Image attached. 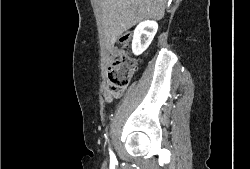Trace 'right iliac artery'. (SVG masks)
<instances>
[{
    "label": "right iliac artery",
    "instance_id": "right-iliac-artery-1",
    "mask_svg": "<svg viewBox=\"0 0 250 169\" xmlns=\"http://www.w3.org/2000/svg\"><path fill=\"white\" fill-rule=\"evenodd\" d=\"M109 151H110V161L111 162L116 161V157H115L114 153L110 149H109Z\"/></svg>",
    "mask_w": 250,
    "mask_h": 169
}]
</instances>
